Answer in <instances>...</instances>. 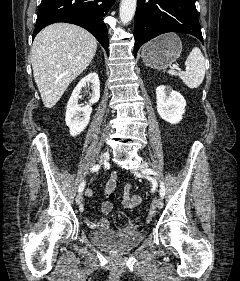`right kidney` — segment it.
<instances>
[{"mask_svg": "<svg viewBox=\"0 0 240 281\" xmlns=\"http://www.w3.org/2000/svg\"><path fill=\"white\" fill-rule=\"evenodd\" d=\"M91 85L92 94L89 103L83 107L78 105V99L82 88ZM100 98V82L97 73H90L77 84L68 101L66 109V125L69 127L70 135L77 136L89 124L92 112V104L97 103Z\"/></svg>", "mask_w": 240, "mask_h": 281, "instance_id": "right-kidney-1", "label": "right kidney"}]
</instances>
